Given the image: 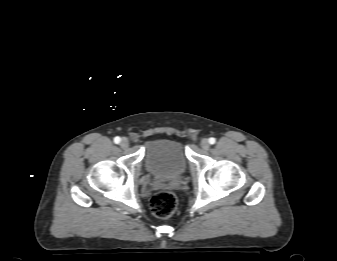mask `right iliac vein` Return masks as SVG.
I'll return each mask as SVG.
<instances>
[{"label": "right iliac vein", "instance_id": "63e3f726", "mask_svg": "<svg viewBox=\"0 0 337 261\" xmlns=\"http://www.w3.org/2000/svg\"><path fill=\"white\" fill-rule=\"evenodd\" d=\"M120 146L122 147V148H127L128 146H129V141H128V139L127 138H123L122 140H121V142H120Z\"/></svg>", "mask_w": 337, "mask_h": 261}]
</instances>
